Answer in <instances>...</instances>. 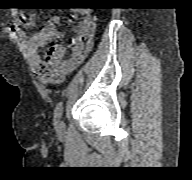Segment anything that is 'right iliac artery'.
Listing matches in <instances>:
<instances>
[{"label":"right iliac artery","mask_w":192,"mask_h":180,"mask_svg":"<svg viewBox=\"0 0 192 180\" xmlns=\"http://www.w3.org/2000/svg\"><path fill=\"white\" fill-rule=\"evenodd\" d=\"M62 109H63L62 102H59L55 108V119H54L55 125H57L59 119L61 118Z\"/></svg>","instance_id":"1"}]
</instances>
